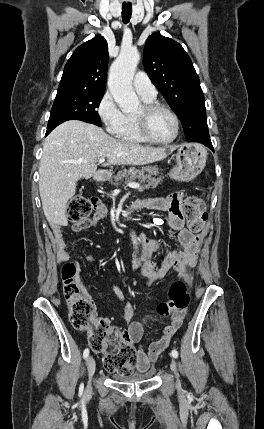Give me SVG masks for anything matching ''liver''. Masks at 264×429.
Listing matches in <instances>:
<instances>
[{"label": "liver", "mask_w": 264, "mask_h": 429, "mask_svg": "<svg viewBox=\"0 0 264 429\" xmlns=\"http://www.w3.org/2000/svg\"><path fill=\"white\" fill-rule=\"evenodd\" d=\"M175 149L121 142L102 128L78 120L62 123L46 137L40 160L39 192L46 219L50 225H68L66 204L76 193L77 181L96 173L99 159L108 158L106 165H144L166 158Z\"/></svg>", "instance_id": "1"}]
</instances>
